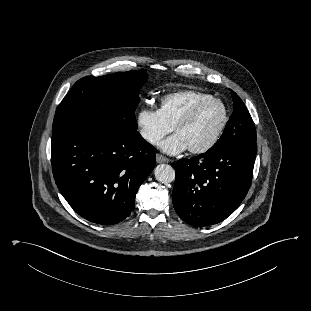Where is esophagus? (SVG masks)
<instances>
[{
  "label": "esophagus",
  "instance_id": "34e87169",
  "mask_svg": "<svg viewBox=\"0 0 311 311\" xmlns=\"http://www.w3.org/2000/svg\"><path fill=\"white\" fill-rule=\"evenodd\" d=\"M156 161L157 163H168L170 160L161 154H157Z\"/></svg>",
  "mask_w": 311,
  "mask_h": 311
}]
</instances>
